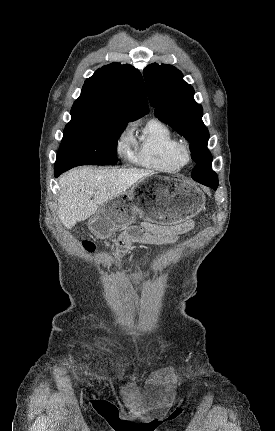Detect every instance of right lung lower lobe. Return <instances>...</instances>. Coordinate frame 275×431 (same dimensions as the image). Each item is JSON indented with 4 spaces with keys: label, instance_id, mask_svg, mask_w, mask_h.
<instances>
[{
    "label": "right lung lower lobe",
    "instance_id": "obj_1",
    "mask_svg": "<svg viewBox=\"0 0 275 431\" xmlns=\"http://www.w3.org/2000/svg\"><path fill=\"white\" fill-rule=\"evenodd\" d=\"M65 171H67V170H65V169H61V168H55L54 175L57 177V176H59L61 173L65 172Z\"/></svg>",
    "mask_w": 275,
    "mask_h": 431
}]
</instances>
